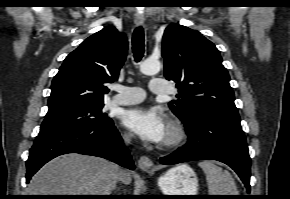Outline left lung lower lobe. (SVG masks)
<instances>
[{
  "label": "left lung lower lobe",
  "instance_id": "obj_1",
  "mask_svg": "<svg viewBox=\"0 0 290 199\" xmlns=\"http://www.w3.org/2000/svg\"><path fill=\"white\" fill-rule=\"evenodd\" d=\"M188 143L176 153L160 158L162 164L194 160H217L229 165L250 192L251 159L240 121L199 114L183 122Z\"/></svg>",
  "mask_w": 290,
  "mask_h": 199
}]
</instances>
